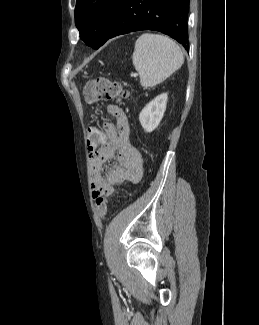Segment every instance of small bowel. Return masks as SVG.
Masks as SVG:
<instances>
[{"label":"small bowel","instance_id":"1","mask_svg":"<svg viewBox=\"0 0 259 325\" xmlns=\"http://www.w3.org/2000/svg\"><path fill=\"white\" fill-rule=\"evenodd\" d=\"M107 112L113 122L104 123L100 148L89 149L92 166L91 188L95 199L110 196L114 187L125 182L137 183L143 174V161L130 139L129 125L125 112L116 105H108ZM87 135L89 132L87 130ZM117 158L118 164L105 171L104 163Z\"/></svg>","mask_w":259,"mask_h":325}]
</instances>
